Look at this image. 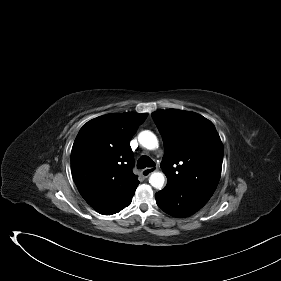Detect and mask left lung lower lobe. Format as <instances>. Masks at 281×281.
I'll return each mask as SVG.
<instances>
[{"label":"left lung lower lobe","mask_w":281,"mask_h":281,"mask_svg":"<svg viewBox=\"0 0 281 281\" xmlns=\"http://www.w3.org/2000/svg\"><path fill=\"white\" fill-rule=\"evenodd\" d=\"M158 206L174 217H187L201 209L211 198L190 187H179L167 184L155 194Z\"/></svg>","instance_id":"0a47b994"}]
</instances>
